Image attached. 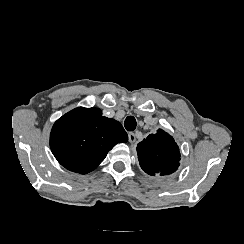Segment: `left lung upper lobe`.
Masks as SVG:
<instances>
[{
  "label": "left lung upper lobe",
  "mask_w": 244,
  "mask_h": 244,
  "mask_svg": "<svg viewBox=\"0 0 244 244\" xmlns=\"http://www.w3.org/2000/svg\"><path fill=\"white\" fill-rule=\"evenodd\" d=\"M136 149L141 168L151 176L169 175L179 167V147L162 129L143 139Z\"/></svg>",
  "instance_id": "1"
}]
</instances>
